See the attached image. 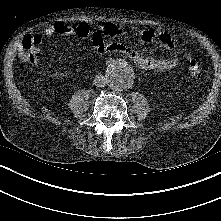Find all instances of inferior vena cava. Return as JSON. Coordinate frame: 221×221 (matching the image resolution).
Instances as JSON below:
<instances>
[{
  "mask_svg": "<svg viewBox=\"0 0 221 221\" xmlns=\"http://www.w3.org/2000/svg\"><path fill=\"white\" fill-rule=\"evenodd\" d=\"M93 83L97 87H105L107 84V79L102 74H98L95 76Z\"/></svg>",
  "mask_w": 221,
  "mask_h": 221,
  "instance_id": "obj_1",
  "label": "inferior vena cava"
}]
</instances>
